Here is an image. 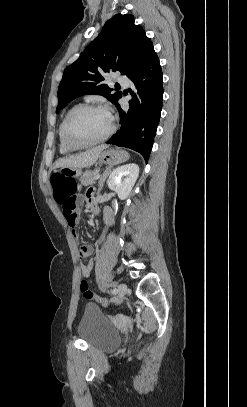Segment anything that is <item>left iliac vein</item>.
Listing matches in <instances>:
<instances>
[{"mask_svg":"<svg viewBox=\"0 0 247 407\" xmlns=\"http://www.w3.org/2000/svg\"><path fill=\"white\" fill-rule=\"evenodd\" d=\"M118 292L120 296H124L125 294H127L128 293L127 285L125 283H120L118 285Z\"/></svg>","mask_w":247,"mask_h":407,"instance_id":"obj_1","label":"left iliac vein"}]
</instances>
